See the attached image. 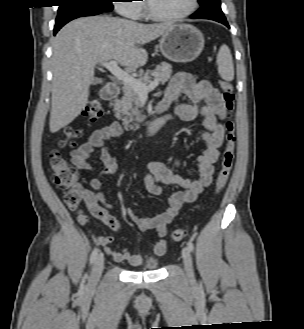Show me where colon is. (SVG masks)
<instances>
[{
  "mask_svg": "<svg viewBox=\"0 0 304 329\" xmlns=\"http://www.w3.org/2000/svg\"><path fill=\"white\" fill-rule=\"evenodd\" d=\"M222 90V98L226 109V143L222 152L220 168L217 174L214 194H219L227 185L230 173L234 163L236 136L235 128L232 120V112L234 109V91L232 84L227 80L219 81ZM103 114L102 103L99 99H91L86 107L85 118L88 122H94L101 118ZM78 136V131L73 128L66 129V137L60 142L61 147H68L74 144V139ZM51 180L53 184L66 191L65 203L71 209H77L82 199L84 192L78 185V172L67 159L59 152L53 151L50 155ZM186 231L184 229H175L171 232V240L178 242L185 238Z\"/></svg>",
  "mask_w": 304,
  "mask_h": 329,
  "instance_id": "1",
  "label": "colon"
}]
</instances>
